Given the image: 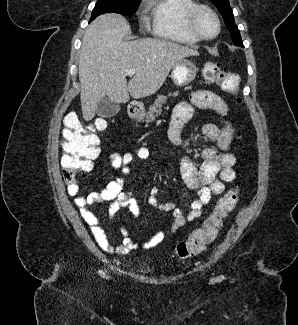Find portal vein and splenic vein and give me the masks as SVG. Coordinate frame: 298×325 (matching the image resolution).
<instances>
[{
    "instance_id": "1",
    "label": "portal vein and splenic vein",
    "mask_w": 298,
    "mask_h": 325,
    "mask_svg": "<svg viewBox=\"0 0 298 325\" xmlns=\"http://www.w3.org/2000/svg\"><path fill=\"white\" fill-rule=\"evenodd\" d=\"M135 72H136L135 68H128V70H125V74H129V76H133Z\"/></svg>"
}]
</instances>
